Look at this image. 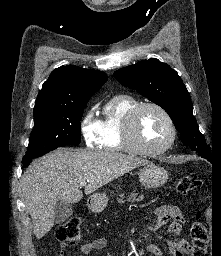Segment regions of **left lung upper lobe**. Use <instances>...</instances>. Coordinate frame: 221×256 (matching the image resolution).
I'll list each match as a JSON object with an SVG mask.
<instances>
[{"label": "left lung upper lobe", "instance_id": "left-lung-upper-lobe-1", "mask_svg": "<svg viewBox=\"0 0 221 256\" xmlns=\"http://www.w3.org/2000/svg\"><path fill=\"white\" fill-rule=\"evenodd\" d=\"M113 75L123 86L137 90L161 106L173 120L184 145L203 158L212 159V150L192 114L190 94L178 73L168 64L151 58L121 68Z\"/></svg>", "mask_w": 221, "mask_h": 256}]
</instances>
